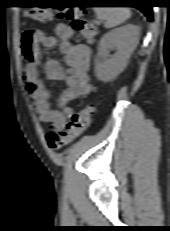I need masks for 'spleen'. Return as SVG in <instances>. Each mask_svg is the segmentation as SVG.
Here are the masks:
<instances>
[{
  "mask_svg": "<svg viewBox=\"0 0 170 231\" xmlns=\"http://www.w3.org/2000/svg\"><path fill=\"white\" fill-rule=\"evenodd\" d=\"M99 20L105 21L106 28H112L125 22L131 15L127 7H95Z\"/></svg>",
  "mask_w": 170,
  "mask_h": 231,
  "instance_id": "obj_1",
  "label": "spleen"
}]
</instances>
